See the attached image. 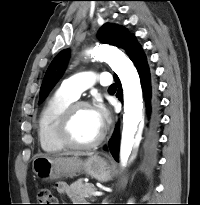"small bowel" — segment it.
I'll use <instances>...</instances> for the list:
<instances>
[{
    "label": "small bowel",
    "mask_w": 200,
    "mask_h": 205,
    "mask_svg": "<svg viewBox=\"0 0 200 205\" xmlns=\"http://www.w3.org/2000/svg\"><path fill=\"white\" fill-rule=\"evenodd\" d=\"M57 191L62 195H67V196L71 195L70 188H69L68 184H66V183H59L57 185Z\"/></svg>",
    "instance_id": "obj_1"
}]
</instances>
